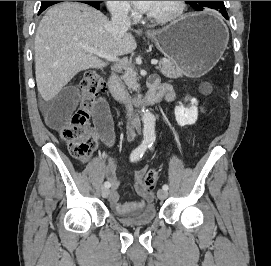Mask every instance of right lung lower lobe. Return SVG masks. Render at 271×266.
I'll return each instance as SVG.
<instances>
[{"mask_svg": "<svg viewBox=\"0 0 271 266\" xmlns=\"http://www.w3.org/2000/svg\"><path fill=\"white\" fill-rule=\"evenodd\" d=\"M78 2L89 4V5L93 6V7H95L96 9H99L100 8V4H101V2H98V1H78ZM49 6L50 5L41 6L38 14L42 13Z\"/></svg>", "mask_w": 271, "mask_h": 266, "instance_id": "right-lung-lower-lobe-1", "label": "right lung lower lobe"}]
</instances>
